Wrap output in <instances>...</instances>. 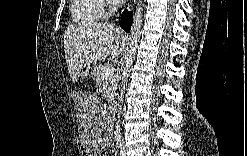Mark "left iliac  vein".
<instances>
[{"mask_svg":"<svg viewBox=\"0 0 247 156\" xmlns=\"http://www.w3.org/2000/svg\"><path fill=\"white\" fill-rule=\"evenodd\" d=\"M121 155L126 156L125 145L123 143L121 146Z\"/></svg>","mask_w":247,"mask_h":156,"instance_id":"1","label":"left iliac vein"}]
</instances>
